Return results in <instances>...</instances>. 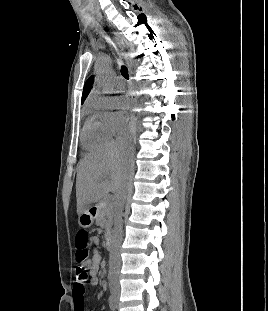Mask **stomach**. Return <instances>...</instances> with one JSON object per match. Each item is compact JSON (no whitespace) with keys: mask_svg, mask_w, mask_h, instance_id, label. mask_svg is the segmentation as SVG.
Here are the masks:
<instances>
[{"mask_svg":"<svg viewBox=\"0 0 268 311\" xmlns=\"http://www.w3.org/2000/svg\"><path fill=\"white\" fill-rule=\"evenodd\" d=\"M78 223L83 228H88L94 223V216L90 212V208H87L83 213L78 217Z\"/></svg>","mask_w":268,"mask_h":311,"instance_id":"1","label":"stomach"}]
</instances>
